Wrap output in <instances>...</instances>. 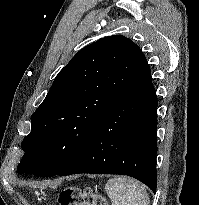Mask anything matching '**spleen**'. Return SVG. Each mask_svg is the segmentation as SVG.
I'll return each instance as SVG.
<instances>
[{"instance_id":"obj_1","label":"spleen","mask_w":199,"mask_h":205,"mask_svg":"<svg viewBox=\"0 0 199 205\" xmlns=\"http://www.w3.org/2000/svg\"><path fill=\"white\" fill-rule=\"evenodd\" d=\"M112 205H150L144 186L126 177L109 179L105 186Z\"/></svg>"}]
</instances>
